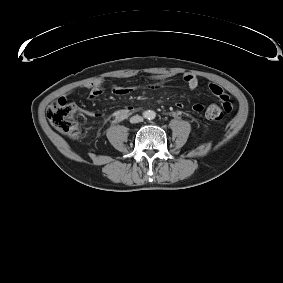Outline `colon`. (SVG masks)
Returning a JSON list of instances; mask_svg holds the SVG:
<instances>
[{
    "label": "colon",
    "mask_w": 283,
    "mask_h": 283,
    "mask_svg": "<svg viewBox=\"0 0 283 283\" xmlns=\"http://www.w3.org/2000/svg\"><path fill=\"white\" fill-rule=\"evenodd\" d=\"M232 108L230 102L225 106L210 105L205 112L207 119L211 121H220L224 117V112H229ZM75 105L65 97L55 100L47 109L46 116L50 124L62 134L76 138L80 133V128L75 118Z\"/></svg>",
    "instance_id": "obj_1"
}]
</instances>
